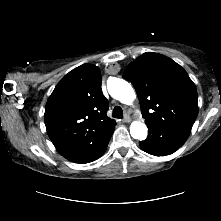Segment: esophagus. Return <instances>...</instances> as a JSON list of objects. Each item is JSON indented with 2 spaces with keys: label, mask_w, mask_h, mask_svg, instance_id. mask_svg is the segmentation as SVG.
I'll return each mask as SVG.
<instances>
[{
  "label": "esophagus",
  "mask_w": 221,
  "mask_h": 221,
  "mask_svg": "<svg viewBox=\"0 0 221 221\" xmlns=\"http://www.w3.org/2000/svg\"><path fill=\"white\" fill-rule=\"evenodd\" d=\"M123 121L126 123H129V122H131V118L129 117V115H125Z\"/></svg>",
  "instance_id": "1"
}]
</instances>
